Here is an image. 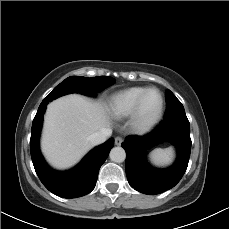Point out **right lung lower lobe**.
I'll return each mask as SVG.
<instances>
[{
    "label": "right lung lower lobe",
    "instance_id": "obj_1",
    "mask_svg": "<svg viewBox=\"0 0 229 229\" xmlns=\"http://www.w3.org/2000/svg\"><path fill=\"white\" fill-rule=\"evenodd\" d=\"M48 102H42L32 123L30 152L35 171L43 185L63 198H76L90 193L97 181L98 172L114 146L111 138L90 151L73 169L60 172L50 168L39 150V137L43 115Z\"/></svg>",
    "mask_w": 229,
    "mask_h": 229
}]
</instances>
